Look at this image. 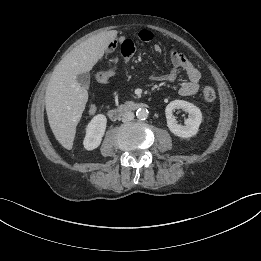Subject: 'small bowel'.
<instances>
[{
	"mask_svg": "<svg viewBox=\"0 0 261 261\" xmlns=\"http://www.w3.org/2000/svg\"><path fill=\"white\" fill-rule=\"evenodd\" d=\"M138 40L142 43L148 44L153 40V34L150 30L142 29L138 33ZM115 48H119L123 63L126 65L130 62L135 52V43L131 39L124 37H118L114 39L107 48V53L112 52ZM153 49L157 53H162L163 48L155 44ZM171 69L168 73L154 75L153 79L160 82H172L177 79L179 73L182 71L185 73L187 80L181 83L179 88V94L182 96H192L199 90V81L201 78L199 70L192 64V62L176 49H172L170 55ZM90 113L96 112V106L90 107Z\"/></svg>",
	"mask_w": 261,
	"mask_h": 261,
	"instance_id": "small-bowel-1",
	"label": "small bowel"
}]
</instances>
